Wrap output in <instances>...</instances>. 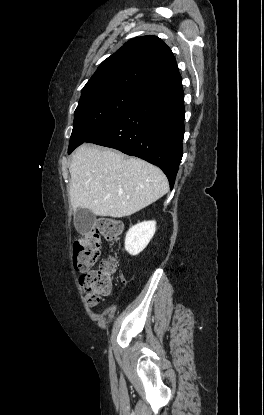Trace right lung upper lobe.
Wrapping results in <instances>:
<instances>
[{
  "label": "right lung upper lobe",
  "instance_id": "1",
  "mask_svg": "<svg viewBox=\"0 0 264 415\" xmlns=\"http://www.w3.org/2000/svg\"><path fill=\"white\" fill-rule=\"evenodd\" d=\"M182 82L170 48L156 36L134 38L105 59L81 97L126 92L146 98Z\"/></svg>",
  "mask_w": 264,
  "mask_h": 415
}]
</instances>
